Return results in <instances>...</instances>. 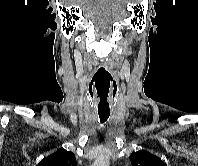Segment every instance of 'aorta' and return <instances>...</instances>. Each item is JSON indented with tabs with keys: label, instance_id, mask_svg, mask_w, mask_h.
I'll return each instance as SVG.
<instances>
[{
	"label": "aorta",
	"instance_id": "1",
	"mask_svg": "<svg viewBox=\"0 0 198 166\" xmlns=\"http://www.w3.org/2000/svg\"><path fill=\"white\" fill-rule=\"evenodd\" d=\"M109 160L107 157H100L93 163L92 166H109Z\"/></svg>",
	"mask_w": 198,
	"mask_h": 166
}]
</instances>
